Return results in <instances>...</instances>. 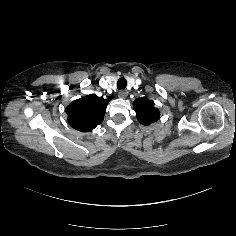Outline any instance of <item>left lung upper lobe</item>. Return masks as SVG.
Wrapping results in <instances>:
<instances>
[{
	"instance_id": "5c2ea615",
	"label": "left lung upper lobe",
	"mask_w": 236,
	"mask_h": 236,
	"mask_svg": "<svg viewBox=\"0 0 236 236\" xmlns=\"http://www.w3.org/2000/svg\"><path fill=\"white\" fill-rule=\"evenodd\" d=\"M137 119L143 125H150L160 117V112L154 106V102L147 98H138L133 103Z\"/></svg>"
}]
</instances>
